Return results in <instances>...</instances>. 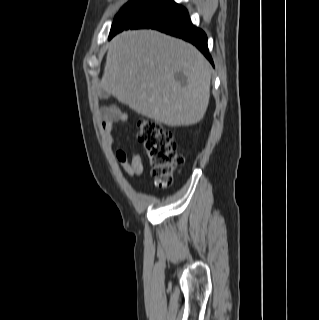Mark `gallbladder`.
Returning <instances> with one entry per match:
<instances>
[{"label":"gallbladder","mask_w":319,"mask_h":320,"mask_svg":"<svg viewBox=\"0 0 319 320\" xmlns=\"http://www.w3.org/2000/svg\"><path fill=\"white\" fill-rule=\"evenodd\" d=\"M99 95L102 99H107L110 97V94L103 89L100 90Z\"/></svg>","instance_id":"bac80fb5"}]
</instances>
